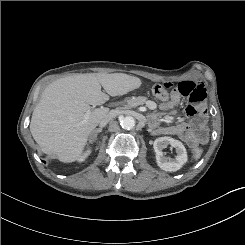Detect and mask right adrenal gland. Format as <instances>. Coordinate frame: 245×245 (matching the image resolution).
Returning a JSON list of instances; mask_svg holds the SVG:
<instances>
[{
  "mask_svg": "<svg viewBox=\"0 0 245 245\" xmlns=\"http://www.w3.org/2000/svg\"><path fill=\"white\" fill-rule=\"evenodd\" d=\"M100 132H102V128H101V127L95 129V130L91 133L90 138H89V141H90L91 143H92L93 141H95V140L97 139V134L100 133Z\"/></svg>",
  "mask_w": 245,
  "mask_h": 245,
  "instance_id": "right-adrenal-gland-1",
  "label": "right adrenal gland"
}]
</instances>
